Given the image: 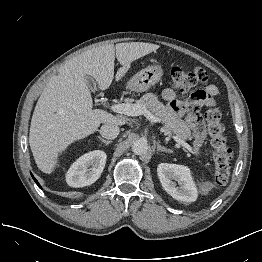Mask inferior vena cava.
Here are the masks:
<instances>
[{"label":"inferior vena cava","instance_id":"602c4592","mask_svg":"<svg viewBox=\"0 0 262 262\" xmlns=\"http://www.w3.org/2000/svg\"><path fill=\"white\" fill-rule=\"evenodd\" d=\"M119 127L116 124L107 123L101 126L100 134L106 139H115L119 134Z\"/></svg>","mask_w":262,"mask_h":262}]
</instances>
